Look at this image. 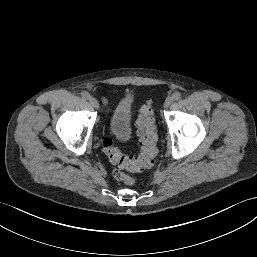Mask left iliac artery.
I'll list each match as a JSON object with an SVG mask.
<instances>
[{"label":"left iliac artery","mask_w":257,"mask_h":257,"mask_svg":"<svg viewBox=\"0 0 257 257\" xmlns=\"http://www.w3.org/2000/svg\"><path fill=\"white\" fill-rule=\"evenodd\" d=\"M181 93L179 92H175L173 95H172V98L173 100H180L181 99Z\"/></svg>","instance_id":"left-iliac-artery-1"}]
</instances>
